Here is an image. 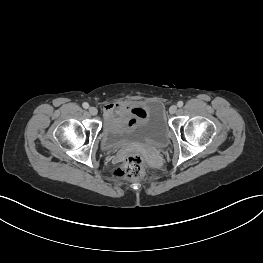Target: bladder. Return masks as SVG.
<instances>
[{"mask_svg":"<svg viewBox=\"0 0 263 263\" xmlns=\"http://www.w3.org/2000/svg\"><path fill=\"white\" fill-rule=\"evenodd\" d=\"M167 135L168 127L163 117L161 103L147 101L124 105L114 112L103 128L102 139L111 147L128 141L161 145L166 141Z\"/></svg>","mask_w":263,"mask_h":263,"instance_id":"bladder-1","label":"bladder"}]
</instances>
